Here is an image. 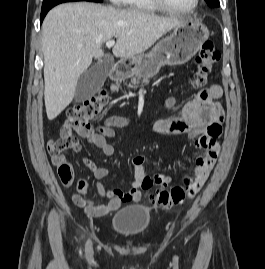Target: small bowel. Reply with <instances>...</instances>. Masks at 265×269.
I'll use <instances>...</instances> for the list:
<instances>
[{
    "instance_id": "small-bowel-1",
    "label": "small bowel",
    "mask_w": 265,
    "mask_h": 269,
    "mask_svg": "<svg viewBox=\"0 0 265 269\" xmlns=\"http://www.w3.org/2000/svg\"><path fill=\"white\" fill-rule=\"evenodd\" d=\"M222 95V88L219 85H212L200 91L192 100L184 103L175 109L174 113L167 118L156 119L149 125V129L157 134L177 135L187 134L194 141L196 147L202 149L196 158V171L194 186L197 191L207 180L216 158L220 145L217 138L209 135V127L214 122L221 123L224 112L217 102ZM177 102L174 98L165 101V108L174 109ZM129 122L118 116H111L104 120L98 130L88 137V142L100 149L106 156L114 154L113 146L107 138L115 136V128L128 126ZM73 150L80 151V145L76 140ZM146 156L137 155L132 159L134 167V180L131 188L122 190L119 188H105L104 183L109 176L106 167H97L89 159L85 158L84 163L96 179V188L102 198H108L107 203H94L86 196L87 183L80 179L77 183L78 193L72 196L75 205L83 208L85 212L93 217L105 216L111 211L119 209L123 202H138L141 198V190L148 189L155 182L159 185H166L170 177L156 175L151 177L145 169Z\"/></svg>"
}]
</instances>
